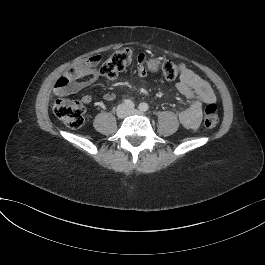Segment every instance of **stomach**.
Listing matches in <instances>:
<instances>
[{
	"label": "stomach",
	"mask_w": 265,
	"mask_h": 265,
	"mask_svg": "<svg viewBox=\"0 0 265 265\" xmlns=\"http://www.w3.org/2000/svg\"><path fill=\"white\" fill-rule=\"evenodd\" d=\"M148 66L150 67L152 71H157L158 69V63L156 60H153V59L148 62Z\"/></svg>",
	"instance_id": "obj_1"
}]
</instances>
